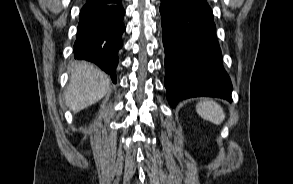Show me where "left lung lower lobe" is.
<instances>
[{
  "label": "left lung lower lobe",
  "mask_w": 293,
  "mask_h": 184,
  "mask_svg": "<svg viewBox=\"0 0 293 184\" xmlns=\"http://www.w3.org/2000/svg\"><path fill=\"white\" fill-rule=\"evenodd\" d=\"M165 87L172 107L198 96L232 101L213 12L206 0H161Z\"/></svg>",
  "instance_id": "left-lung-lower-lobe-1"
}]
</instances>
